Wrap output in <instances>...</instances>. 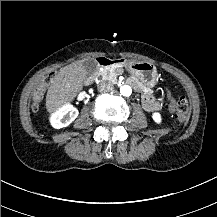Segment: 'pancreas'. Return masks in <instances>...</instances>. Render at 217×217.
Segmentation results:
<instances>
[{
  "label": "pancreas",
  "mask_w": 217,
  "mask_h": 217,
  "mask_svg": "<svg viewBox=\"0 0 217 217\" xmlns=\"http://www.w3.org/2000/svg\"><path fill=\"white\" fill-rule=\"evenodd\" d=\"M123 73V69L121 68H112L110 70H103L102 71V75L103 78L110 80L112 83H116L117 82V76L121 75ZM134 82H137L138 86L141 87V90L143 93L145 94H149L152 95L153 94V90L152 89H147L144 84H141L140 81H138L137 78H133Z\"/></svg>",
  "instance_id": "1"
}]
</instances>
